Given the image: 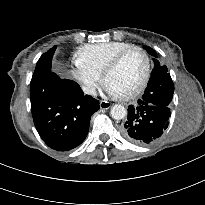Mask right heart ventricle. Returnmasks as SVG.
I'll return each mask as SVG.
<instances>
[{"label": "right heart ventricle", "instance_id": "e07e8e85", "mask_svg": "<svg viewBox=\"0 0 205 205\" xmlns=\"http://www.w3.org/2000/svg\"><path fill=\"white\" fill-rule=\"evenodd\" d=\"M131 47L125 42H106L82 46L76 54V61L98 76L102 75L108 63L121 51Z\"/></svg>", "mask_w": 205, "mask_h": 205}]
</instances>
